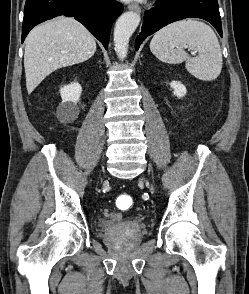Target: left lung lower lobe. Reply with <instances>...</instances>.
I'll list each match as a JSON object with an SVG mask.
<instances>
[{"instance_id": "1", "label": "left lung lower lobe", "mask_w": 249, "mask_h": 294, "mask_svg": "<svg viewBox=\"0 0 249 294\" xmlns=\"http://www.w3.org/2000/svg\"><path fill=\"white\" fill-rule=\"evenodd\" d=\"M159 6L144 13L145 21L135 41L138 50L145 38L160 28L185 18H201L210 22L222 37V25L217 0H157Z\"/></svg>"}]
</instances>
